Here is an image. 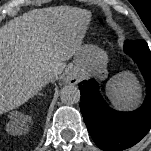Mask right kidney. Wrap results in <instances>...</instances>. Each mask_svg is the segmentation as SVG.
Listing matches in <instances>:
<instances>
[{"label":"right kidney","mask_w":151,"mask_h":151,"mask_svg":"<svg viewBox=\"0 0 151 151\" xmlns=\"http://www.w3.org/2000/svg\"><path fill=\"white\" fill-rule=\"evenodd\" d=\"M19 116H20V115H19L18 112H15V113L12 114L11 117L13 118V122H14V123H17V122H20V121H21ZM22 121L25 122V119H22ZM12 133L16 134V133H18V131H16V129H13V130H12Z\"/></svg>","instance_id":"right-kidney-1"}]
</instances>
